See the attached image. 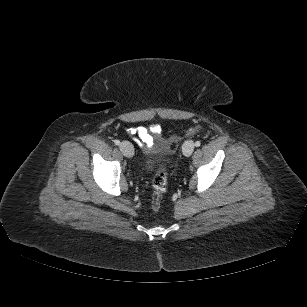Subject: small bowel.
<instances>
[{"label":"small bowel","mask_w":307,"mask_h":307,"mask_svg":"<svg viewBox=\"0 0 307 307\" xmlns=\"http://www.w3.org/2000/svg\"><path fill=\"white\" fill-rule=\"evenodd\" d=\"M128 132L131 135H137L140 139L139 145L147 150L154 147L155 143L165 145V141L160 138L161 128L157 124L150 125L149 127H135L130 128Z\"/></svg>","instance_id":"small-bowel-1"}]
</instances>
